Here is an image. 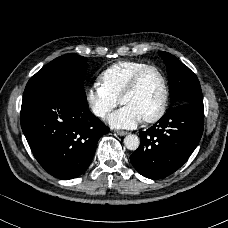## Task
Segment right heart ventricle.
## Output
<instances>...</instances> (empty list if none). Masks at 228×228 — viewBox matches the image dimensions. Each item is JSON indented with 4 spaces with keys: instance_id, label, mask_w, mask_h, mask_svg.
Masks as SVG:
<instances>
[{
    "instance_id": "1",
    "label": "right heart ventricle",
    "mask_w": 228,
    "mask_h": 228,
    "mask_svg": "<svg viewBox=\"0 0 228 228\" xmlns=\"http://www.w3.org/2000/svg\"><path fill=\"white\" fill-rule=\"evenodd\" d=\"M150 64L143 61H118L105 68L99 75L101 85L115 98L122 93L134 75Z\"/></svg>"
}]
</instances>
